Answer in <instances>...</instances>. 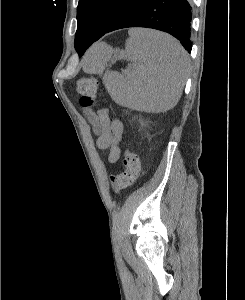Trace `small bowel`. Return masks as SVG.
I'll use <instances>...</instances> for the list:
<instances>
[{
    "label": "small bowel",
    "instance_id": "small-bowel-1",
    "mask_svg": "<svg viewBox=\"0 0 245 300\" xmlns=\"http://www.w3.org/2000/svg\"><path fill=\"white\" fill-rule=\"evenodd\" d=\"M84 114L97 137V147L108 150V162L116 163L121 153L119 144L124 133L123 123L118 118H112L105 108L97 112L85 108Z\"/></svg>",
    "mask_w": 245,
    "mask_h": 300
}]
</instances>
